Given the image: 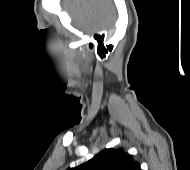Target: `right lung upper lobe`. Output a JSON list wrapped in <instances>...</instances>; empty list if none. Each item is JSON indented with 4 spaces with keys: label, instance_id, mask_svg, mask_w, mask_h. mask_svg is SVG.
Returning <instances> with one entry per match:
<instances>
[{
    "label": "right lung upper lobe",
    "instance_id": "1",
    "mask_svg": "<svg viewBox=\"0 0 190 170\" xmlns=\"http://www.w3.org/2000/svg\"><path fill=\"white\" fill-rule=\"evenodd\" d=\"M68 170H141L132 156L120 149H105L89 161Z\"/></svg>",
    "mask_w": 190,
    "mask_h": 170
}]
</instances>
